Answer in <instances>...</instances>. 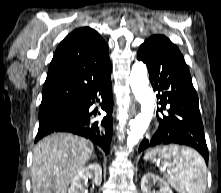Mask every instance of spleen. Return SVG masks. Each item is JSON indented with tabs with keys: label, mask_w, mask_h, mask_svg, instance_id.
<instances>
[{
	"label": "spleen",
	"mask_w": 221,
	"mask_h": 193,
	"mask_svg": "<svg viewBox=\"0 0 221 193\" xmlns=\"http://www.w3.org/2000/svg\"><path fill=\"white\" fill-rule=\"evenodd\" d=\"M156 154L163 159L162 171L171 186L179 193H205L206 165L202 156L189 146H154L144 156Z\"/></svg>",
	"instance_id": "1"
}]
</instances>
